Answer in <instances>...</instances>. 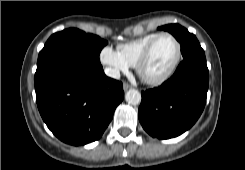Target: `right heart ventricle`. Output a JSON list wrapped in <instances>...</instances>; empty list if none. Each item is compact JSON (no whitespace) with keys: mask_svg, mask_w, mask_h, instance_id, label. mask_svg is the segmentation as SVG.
<instances>
[{"mask_svg":"<svg viewBox=\"0 0 245 170\" xmlns=\"http://www.w3.org/2000/svg\"><path fill=\"white\" fill-rule=\"evenodd\" d=\"M159 33H150L137 39L128 41L118 46V52L129 66H135L138 57L143 52L148 43Z\"/></svg>","mask_w":245,"mask_h":170,"instance_id":"obj_1","label":"right heart ventricle"}]
</instances>
